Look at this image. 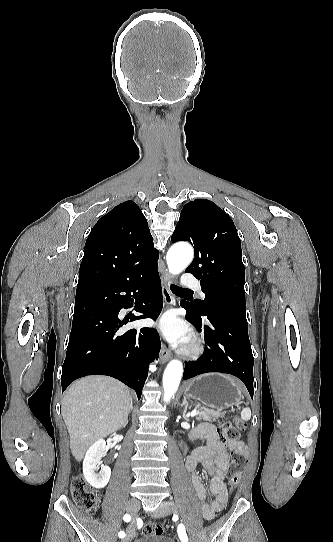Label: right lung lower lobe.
I'll return each instance as SVG.
<instances>
[{
	"instance_id": "98d812e1",
	"label": "right lung lower lobe",
	"mask_w": 333,
	"mask_h": 542,
	"mask_svg": "<svg viewBox=\"0 0 333 542\" xmlns=\"http://www.w3.org/2000/svg\"><path fill=\"white\" fill-rule=\"evenodd\" d=\"M158 257L132 251L118 256L108 249H85L80 267L99 269L123 264L131 271L119 284L77 286L72 330L62 367V392L74 380L93 374L112 376L134 389L140 399L149 362L158 358L161 343L153 328L127 330L138 319H156L162 310ZM133 293V295H131ZM136 302L142 315L118 317ZM127 330V331H126Z\"/></svg>"
}]
</instances>
